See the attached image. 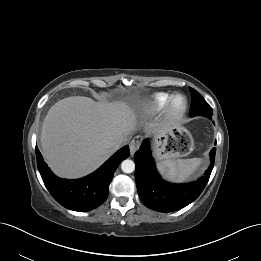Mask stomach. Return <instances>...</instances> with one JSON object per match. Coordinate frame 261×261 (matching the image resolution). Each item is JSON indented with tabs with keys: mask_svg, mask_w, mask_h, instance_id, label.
I'll return each instance as SVG.
<instances>
[{
	"mask_svg": "<svg viewBox=\"0 0 261 261\" xmlns=\"http://www.w3.org/2000/svg\"><path fill=\"white\" fill-rule=\"evenodd\" d=\"M193 146L190 132L178 124L164 126L154 135V155L160 161L187 156Z\"/></svg>",
	"mask_w": 261,
	"mask_h": 261,
	"instance_id": "stomach-1",
	"label": "stomach"
}]
</instances>
